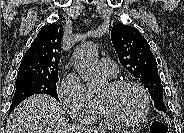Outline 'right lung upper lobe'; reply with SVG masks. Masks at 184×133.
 <instances>
[{
  "label": "right lung upper lobe",
  "instance_id": "1",
  "mask_svg": "<svg viewBox=\"0 0 184 133\" xmlns=\"http://www.w3.org/2000/svg\"><path fill=\"white\" fill-rule=\"evenodd\" d=\"M63 26L49 24L39 31L21 60L17 79L58 76Z\"/></svg>",
  "mask_w": 184,
  "mask_h": 133
}]
</instances>
